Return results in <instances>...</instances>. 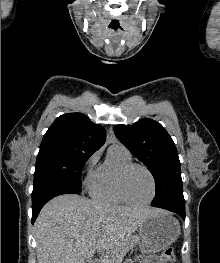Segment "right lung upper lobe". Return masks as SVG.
Returning <instances> with one entry per match:
<instances>
[{
  "instance_id": "obj_1",
  "label": "right lung upper lobe",
  "mask_w": 220,
  "mask_h": 263,
  "mask_svg": "<svg viewBox=\"0 0 220 263\" xmlns=\"http://www.w3.org/2000/svg\"><path fill=\"white\" fill-rule=\"evenodd\" d=\"M106 140L105 129L82 113L59 116L45 133L40 151L68 149L83 152L97 151Z\"/></svg>"
}]
</instances>
